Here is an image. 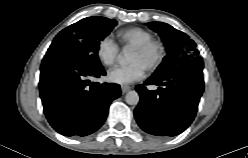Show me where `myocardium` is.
Segmentation results:
<instances>
[{
	"label": "myocardium",
	"mask_w": 248,
	"mask_h": 158,
	"mask_svg": "<svg viewBox=\"0 0 248 158\" xmlns=\"http://www.w3.org/2000/svg\"><path fill=\"white\" fill-rule=\"evenodd\" d=\"M133 50H136L139 52H152L153 53L154 55L153 61L146 68L150 72L157 70L161 66L164 60V57H165V48L163 44L159 41H155L152 39L134 46Z\"/></svg>",
	"instance_id": "obj_1"
}]
</instances>
